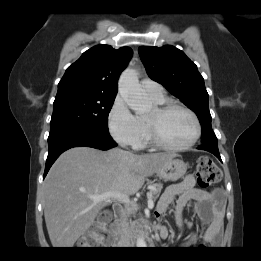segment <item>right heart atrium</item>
Here are the masks:
<instances>
[{
  "mask_svg": "<svg viewBox=\"0 0 261 261\" xmlns=\"http://www.w3.org/2000/svg\"><path fill=\"white\" fill-rule=\"evenodd\" d=\"M108 128L111 136L122 146H141L144 126L120 96L115 98L109 111Z\"/></svg>",
  "mask_w": 261,
  "mask_h": 261,
  "instance_id": "1",
  "label": "right heart atrium"
}]
</instances>
